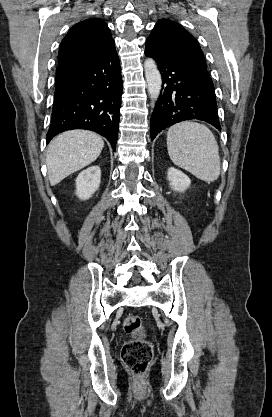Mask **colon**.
Segmentation results:
<instances>
[{"instance_id":"colon-1","label":"colon","mask_w":272,"mask_h":417,"mask_svg":"<svg viewBox=\"0 0 272 417\" xmlns=\"http://www.w3.org/2000/svg\"><path fill=\"white\" fill-rule=\"evenodd\" d=\"M123 328L130 339L123 345L122 361L133 375L140 377L146 372L152 361V346L145 338L142 320L138 315L126 317Z\"/></svg>"}]
</instances>
